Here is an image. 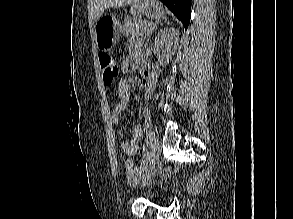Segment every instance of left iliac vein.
Returning a JSON list of instances; mask_svg holds the SVG:
<instances>
[{"label":"left iliac vein","instance_id":"obj_1","mask_svg":"<svg viewBox=\"0 0 293 219\" xmlns=\"http://www.w3.org/2000/svg\"><path fill=\"white\" fill-rule=\"evenodd\" d=\"M149 141L151 148V160L149 161V166H151L155 163L159 155V141L154 127L149 131Z\"/></svg>","mask_w":293,"mask_h":219}]
</instances>
